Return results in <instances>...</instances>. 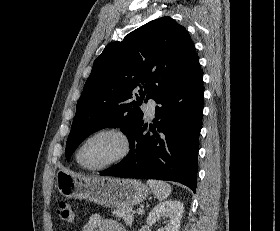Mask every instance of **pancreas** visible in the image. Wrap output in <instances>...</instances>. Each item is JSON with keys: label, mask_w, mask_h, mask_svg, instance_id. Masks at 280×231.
<instances>
[{"label": "pancreas", "mask_w": 280, "mask_h": 231, "mask_svg": "<svg viewBox=\"0 0 280 231\" xmlns=\"http://www.w3.org/2000/svg\"><path fill=\"white\" fill-rule=\"evenodd\" d=\"M113 213L117 217H122L126 225H132L133 213L131 207H118V209H114Z\"/></svg>", "instance_id": "1"}]
</instances>
